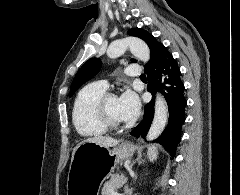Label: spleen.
<instances>
[{"label":"spleen","instance_id":"1","mask_svg":"<svg viewBox=\"0 0 240 195\" xmlns=\"http://www.w3.org/2000/svg\"><path fill=\"white\" fill-rule=\"evenodd\" d=\"M157 157H158V149H157L156 145H150V147H148L149 161H155V159H157Z\"/></svg>","mask_w":240,"mask_h":195}]
</instances>
